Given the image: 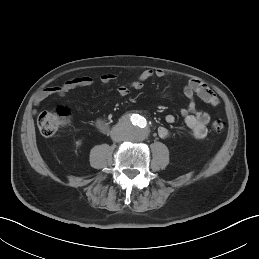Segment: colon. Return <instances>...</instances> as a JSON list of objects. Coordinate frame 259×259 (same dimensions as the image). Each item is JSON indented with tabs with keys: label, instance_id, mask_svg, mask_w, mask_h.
<instances>
[{
	"label": "colon",
	"instance_id": "5ec220e1",
	"mask_svg": "<svg viewBox=\"0 0 259 259\" xmlns=\"http://www.w3.org/2000/svg\"><path fill=\"white\" fill-rule=\"evenodd\" d=\"M70 121V110L65 106H59L55 110L43 112L39 117L38 125L41 134L50 137L56 135ZM211 127L214 132H222L226 124L222 119L216 118L213 120Z\"/></svg>",
	"mask_w": 259,
	"mask_h": 259
}]
</instances>
